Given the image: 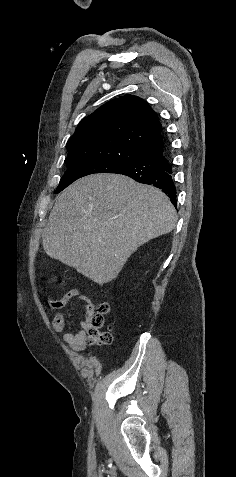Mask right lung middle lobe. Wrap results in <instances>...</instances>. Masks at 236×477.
<instances>
[{"instance_id": "1", "label": "right lung middle lobe", "mask_w": 236, "mask_h": 477, "mask_svg": "<svg viewBox=\"0 0 236 477\" xmlns=\"http://www.w3.org/2000/svg\"><path fill=\"white\" fill-rule=\"evenodd\" d=\"M140 159L141 157L136 156L131 160L136 162ZM65 163L68 170L61 178L55 193H59L72 182L86 175L94 173H114L116 170L125 166V163L122 161H116L107 158L75 159L66 161Z\"/></svg>"}]
</instances>
